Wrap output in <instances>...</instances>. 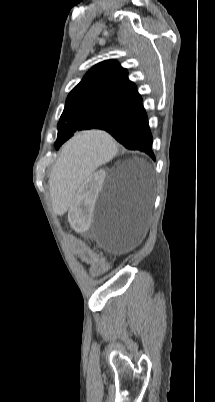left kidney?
<instances>
[{"mask_svg": "<svg viewBox=\"0 0 215 402\" xmlns=\"http://www.w3.org/2000/svg\"><path fill=\"white\" fill-rule=\"evenodd\" d=\"M108 172L106 169H98L97 174H93L91 182L82 184L81 193H77L74 197L69 221L74 226L75 233L88 232V222L92 221V206L100 193L102 186V178H106Z\"/></svg>", "mask_w": 215, "mask_h": 402, "instance_id": "left-kidney-1", "label": "left kidney"}]
</instances>
